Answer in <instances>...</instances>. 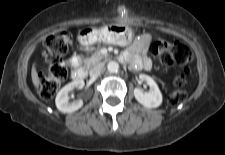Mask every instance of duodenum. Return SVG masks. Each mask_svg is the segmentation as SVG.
Here are the masks:
<instances>
[{
  "label": "duodenum",
  "mask_w": 225,
  "mask_h": 155,
  "mask_svg": "<svg viewBox=\"0 0 225 155\" xmlns=\"http://www.w3.org/2000/svg\"><path fill=\"white\" fill-rule=\"evenodd\" d=\"M86 77V70L84 68H76L72 72V78L74 81L79 82L84 80Z\"/></svg>",
  "instance_id": "duodenum-1"
}]
</instances>
